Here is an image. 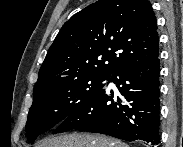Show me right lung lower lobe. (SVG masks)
Wrapping results in <instances>:
<instances>
[{"label":"right lung lower lobe","mask_w":183,"mask_h":147,"mask_svg":"<svg viewBox=\"0 0 183 147\" xmlns=\"http://www.w3.org/2000/svg\"><path fill=\"white\" fill-rule=\"evenodd\" d=\"M159 72L158 57L123 66L109 78L121 98L102 88L65 118L53 134L79 129L126 141L160 143Z\"/></svg>","instance_id":"obj_1"}]
</instances>
